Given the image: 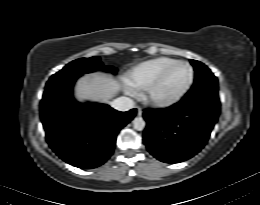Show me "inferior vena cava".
Instances as JSON below:
<instances>
[{
    "label": "inferior vena cava",
    "instance_id": "1",
    "mask_svg": "<svg viewBox=\"0 0 260 205\" xmlns=\"http://www.w3.org/2000/svg\"><path fill=\"white\" fill-rule=\"evenodd\" d=\"M111 107L118 111H128L134 108V101L128 97H119L111 102Z\"/></svg>",
    "mask_w": 260,
    "mask_h": 205
}]
</instances>
